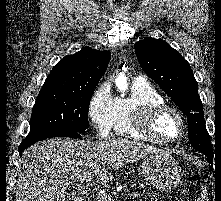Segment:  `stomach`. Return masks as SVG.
<instances>
[{"label": "stomach", "mask_w": 221, "mask_h": 201, "mask_svg": "<svg viewBox=\"0 0 221 201\" xmlns=\"http://www.w3.org/2000/svg\"><path fill=\"white\" fill-rule=\"evenodd\" d=\"M141 170L146 180L162 192L178 186L182 176L176 160L164 150L145 156Z\"/></svg>", "instance_id": "0dacf381"}]
</instances>
